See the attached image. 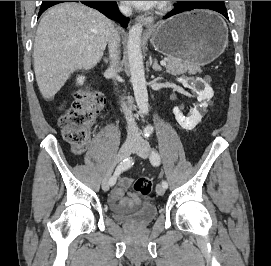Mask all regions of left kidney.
Returning <instances> with one entry per match:
<instances>
[{
	"label": "left kidney",
	"instance_id": "left-kidney-1",
	"mask_svg": "<svg viewBox=\"0 0 271 266\" xmlns=\"http://www.w3.org/2000/svg\"><path fill=\"white\" fill-rule=\"evenodd\" d=\"M178 82L182 83L184 86H188L187 80L183 78H178ZM204 90H201L198 93L197 100L200 102L199 107L202 110H205L207 107V102L211 99L213 96V90L207 85L204 84ZM173 113L175 115V119L178 122V124L185 130H192L195 128V126L201 121L202 119V113L195 108L192 112V115L189 117L183 116V114L180 112L178 107H174Z\"/></svg>",
	"mask_w": 271,
	"mask_h": 266
}]
</instances>
